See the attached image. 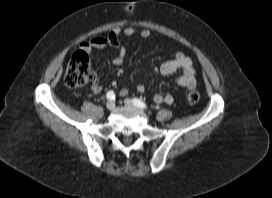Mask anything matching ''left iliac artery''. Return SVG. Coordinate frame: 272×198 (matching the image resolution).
I'll return each mask as SVG.
<instances>
[{
  "label": "left iliac artery",
  "instance_id": "obj_1",
  "mask_svg": "<svg viewBox=\"0 0 272 198\" xmlns=\"http://www.w3.org/2000/svg\"><path fill=\"white\" fill-rule=\"evenodd\" d=\"M133 102L137 107H139L141 109H146L147 108V105L142 100H140L138 98H134Z\"/></svg>",
  "mask_w": 272,
  "mask_h": 198
}]
</instances>
